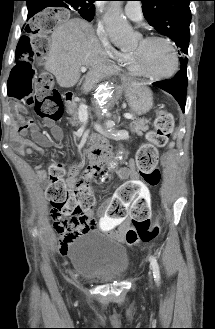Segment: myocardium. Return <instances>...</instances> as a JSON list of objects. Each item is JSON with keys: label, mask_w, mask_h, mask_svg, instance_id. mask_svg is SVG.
<instances>
[{"label": "myocardium", "mask_w": 215, "mask_h": 329, "mask_svg": "<svg viewBox=\"0 0 215 329\" xmlns=\"http://www.w3.org/2000/svg\"><path fill=\"white\" fill-rule=\"evenodd\" d=\"M156 41L165 42L171 47V50L174 55V60H175L173 69L169 73H166L163 75H153V74L146 72L140 65L141 58H142V55L140 52H132V55H131L132 66H133L135 72L137 73V75L143 76L150 80L169 79V78L173 77L179 70L180 59H179V53H178L177 47L171 39H169L165 36L151 35V36H146L142 39V42L144 44H150V43H153Z\"/></svg>", "instance_id": "obj_1"}]
</instances>
